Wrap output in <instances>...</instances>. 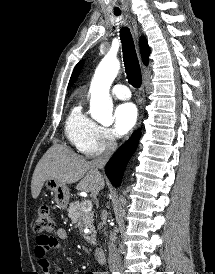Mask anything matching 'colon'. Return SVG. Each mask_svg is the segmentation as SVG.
Instances as JSON below:
<instances>
[{"mask_svg": "<svg viewBox=\"0 0 215 274\" xmlns=\"http://www.w3.org/2000/svg\"><path fill=\"white\" fill-rule=\"evenodd\" d=\"M34 232L38 235H46L54 228V221L50 208L47 205H41L38 208V214L34 223Z\"/></svg>", "mask_w": 215, "mask_h": 274, "instance_id": "obj_1", "label": "colon"}]
</instances>
